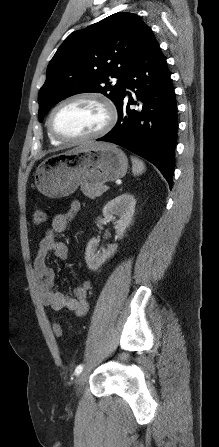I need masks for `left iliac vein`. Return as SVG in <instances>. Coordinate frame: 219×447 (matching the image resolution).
I'll list each match as a JSON object with an SVG mask.
<instances>
[{
  "label": "left iliac vein",
  "instance_id": "left-iliac-vein-1",
  "mask_svg": "<svg viewBox=\"0 0 219 447\" xmlns=\"http://www.w3.org/2000/svg\"><path fill=\"white\" fill-rule=\"evenodd\" d=\"M88 378V372L83 371L77 379V394L82 392L83 386Z\"/></svg>",
  "mask_w": 219,
  "mask_h": 447
}]
</instances>
